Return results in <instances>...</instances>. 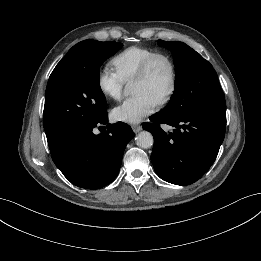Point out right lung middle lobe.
I'll use <instances>...</instances> for the list:
<instances>
[{"mask_svg": "<svg viewBox=\"0 0 261 261\" xmlns=\"http://www.w3.org/2000/svg\"><path fill=\"white\" fill-rule=\"evenodd\" d=\"M121 47V43L114 41L84 40L57 64L45 93L44 129L48 144L107 116L99 68Z\"/></svg>", "mask_w": 261, "mask_h": 261, "instance_id": "right-lung-middle-lobe-1", "label": "right lung middle lobe"}]
</instances>
